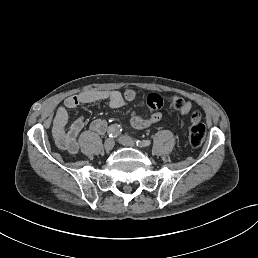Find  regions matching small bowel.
I'll list each match as a JSON object with an SVG mask.
<instances>
[{"label": "small bowel", "instance_id": "c3829d8e", "mask_svg": "<svg viewBox=\"0 0 258 258\" xmlns=\"http://www.w3.org/2000/svg\"><path fill=\"white\" fill-rule=\"evenodd\" d=\"M179 98L174 95L172 99ZM136 99V92L132 89H127L124 92L118 90H99L90 89L78 94L67 97L63 104L58 107L52 121V135L56 145L71 154H76L79 151L78 136L84 127L85 119L83 116L78 117L71 125H68L69 115L68 110L73 109L81 104H89L98 101H107L112 108L127 107L129 103ZM163 106V99L158 94H150L147 97L146 106L144 108L147 113L145 116L133 113L130 116V123L134 129H144L157 122L162 118L159 109ZM170 108H173L170 103ZM191 104L186 102L180 110L181 115H187L190 112ZM193 122L200 119L197 111L191 115ZM108 123L102 119H96L91 122L90 130L93 133L102 135L105 133ZM109 128V127H108Z\"/></svg>", "mask_w": 258, "mask_h": 258}]
</instances>
